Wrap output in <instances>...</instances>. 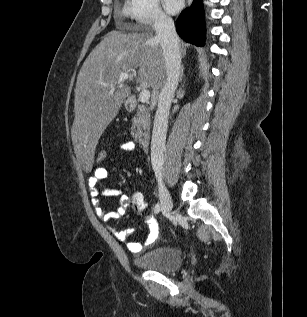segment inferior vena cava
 Listing matches in <instances>:
<instances>
[{
  "label": "inferior vena cava",
  "mask_w": 307,
  "mask_h": 317,
  "mask_svg": "<svg viewBox=\"0 0 307 317\" xmlns=\"http://www.w3.org/2000/svg\"><path fill=\"white\" fill-rule=\"evenodd\" d=\"M154 29L156 31V39L162 49L167 75L166 82L159 94L151 139L152 168L155 176L161 177L171 101L181 74V54L179 38L174 22L170 17L164 14L159 15L155 21Z\"/></svg>",
  "instance_id": "inferior-vena-cava-1"
}]
</instances>
